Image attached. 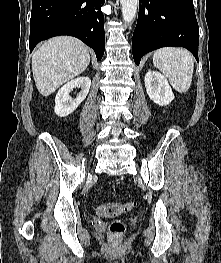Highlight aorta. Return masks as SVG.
I'll list each match as a JSON object with an SVG mask.
<instances>
[{
    "label": "aorta",
    "instance_id": "1",
    "mask_svg": "<svg viewBox=\"0 0 221 263\" xmlns=\"http://www.w3.org/2000/svg\"><path fill=\"white\" fill-rule=\"evenodd\" d=\"M123 20L131 24L136 17L138 0H120Z\"/></svg>",
    "mask_w": 221,
    "mask_h": 263
}]
</instances>
